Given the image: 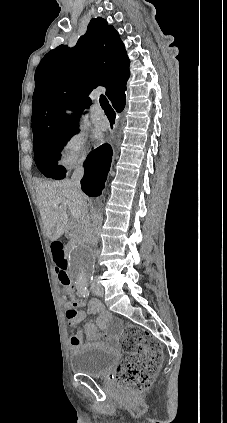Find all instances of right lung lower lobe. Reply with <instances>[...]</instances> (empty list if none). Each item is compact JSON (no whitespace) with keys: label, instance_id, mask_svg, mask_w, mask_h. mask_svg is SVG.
<instances>
[{"label":"right lung lower lobe","instance_id":"1","mask_svg":"<svg viewBox=\"0 0 227 423\" xmlns=\"http://www.w3.org/2000/svg\"><path fill=\"white\" fill-rule=\"evenodd\" d=\"M117 112L125 107V100L113 106ZM112 160V149L109 144H104L91 151L84 163L85 175L81 180L83 192L88 196H99L104 188Z\"/></svg>","mask_w":227,"mask_h":423}]
</instances>
